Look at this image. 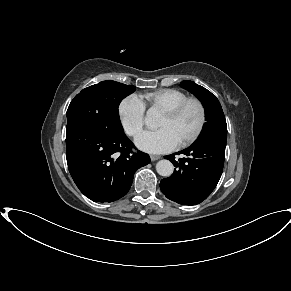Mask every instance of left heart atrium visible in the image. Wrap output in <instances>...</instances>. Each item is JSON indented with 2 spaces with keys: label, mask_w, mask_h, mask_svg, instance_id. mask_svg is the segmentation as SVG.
I'll return each instance as SVG.
<instances>
[{
  "label": "left heart atrium",
  "mask_w": 291,
  "mask_h": 291,
  "mask_svg": "<svg viewBox=\"0 0 291 291\" xmlns=\"http://www.w3.org/2000/svg\"><path fill=\"white\" fill-rule=\"evenodd\" d=\"M138 148L149 153H165L177 147L178 142L166 128L144 131L135 140Z\"/></svg>",
  "instance_id": "39dd6f15"
}]
</instances>
